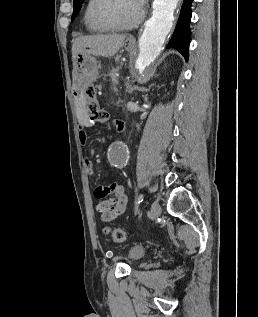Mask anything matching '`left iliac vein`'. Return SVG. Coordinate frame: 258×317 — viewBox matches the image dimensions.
<instances>
[{"label":"left iliac vein","mask_w":258,"mask_h":317,"mask_svg":"<svg viewBox=\"0 0 258 317\" xmlns=\"http://www.w3.org/2000/svg\"><path fill=\"white\" fill-rule=\"evenodd\" d=\"M161 215V207L158 202L152 203L151 216L152 218H157ZM153 221L152 219L150 220Z\"/></svg>","instance_id":"obj_1"}]
</instances>
